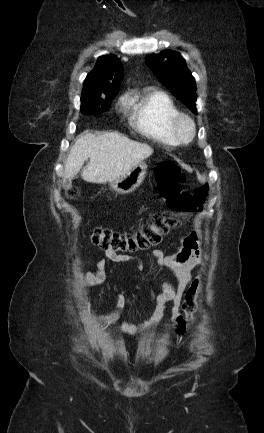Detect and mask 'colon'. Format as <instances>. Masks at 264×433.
I'll list each match as a JSON object with an SVG mask.
<instances>
[{
	"label": "colon",
	"instance_id": "colon-1",
	"mask_svg": "<svg viewBox=\"0 0 264 433\" xmlns=\"http://www.w3.org/2000/svg\"><path fill=\"white\" fill-rule=\"evenodd\" d=\"M185 174L174 162H163L156 171V183L163 200L172 211L153 214L148 222L133 233H120L105 228L92 231L91 241L105 252L125 254L147 249L158 244L162 237L179 227L183 220L195 212L204 203L207 196L206 186H201L194 193L183 189ZM78 194L76 188L68 191L69 197ZM201 288L200 278L192 281L185 294L182 309L185 321L192 323L197 308V296Z\"/></svg>",
	"mask_w": 264,
	"mask_h": 433
}]
</instances>
